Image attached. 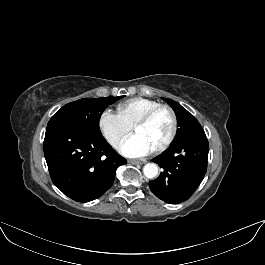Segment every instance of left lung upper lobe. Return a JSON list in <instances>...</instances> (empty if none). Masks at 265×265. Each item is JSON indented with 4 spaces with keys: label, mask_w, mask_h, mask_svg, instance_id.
I'll use <instances>...</instances> for the list:
<instances>
[{
    "label": "left lung upper lobe",
    "mask_w": 265,
    "mask_h": 265,
    "mask_svg": "<svg viewBox=\"0 0 265 265\" xmlns=\"http://www.w3.org/2000/svg\"><path fill=\"white\" fill-rule=\"evenodd\" d=\"M162 99L172 107L177 117L179 129L177 130L173 143L204 131L196 118L180 104L168 98Z\"/></svg>",
    "instance_id": "obj_1"
}]
</instances>
